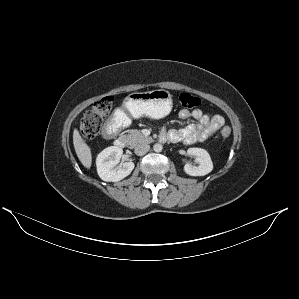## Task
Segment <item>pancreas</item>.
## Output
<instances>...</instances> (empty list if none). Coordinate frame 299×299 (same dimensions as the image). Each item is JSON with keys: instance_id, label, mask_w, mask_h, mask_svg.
Returning a JSON list of instances; mask_svg holds the SVG:
<instances>
[{"instance_id": "cf45deb5", "label": "pancreas", "mask_w": 299, "mask_h": 299, "mask_svg": "<svg viewBox=\"0 0 299 299\" xmlns=\"http://www.w3.org/2000/svg\"><path fill=\"white\" fill-rule=\"evenodd\" d=\"M126 137H127L128 144L131 147H135L138 144H142V143L152 142L151 137L145 136L138 130H131L130 133Z\"/></svg>"}]
</instances>
